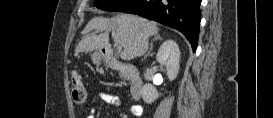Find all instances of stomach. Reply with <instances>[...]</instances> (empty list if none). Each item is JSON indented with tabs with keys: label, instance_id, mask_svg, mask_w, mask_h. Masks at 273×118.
Returning a JSON list of instances; mask_svg holds the SVG:
<instances>
[{
	"label": "stomach",
	"instance_id": "0dacf381",
	"mask_svg": "<svg viewBox=\"0 0 273 118\" xmlns=\"http://www.w3.org/2000/svg\"><path fill=\"white\" fill-rule=\"evenodd\" d=\"M101 59H102V55L100 53H95L92 55V60L96 64L100 63Z\"/></svg>",
	"mask_w": 273,
	"mask_h": 118
}]
</instances>
